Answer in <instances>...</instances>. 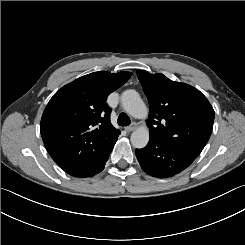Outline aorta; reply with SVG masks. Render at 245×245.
Masks as SVG:
<instances>
[{
  "instance_id": "obj_1",
  "label": "aorta",
  "mask_w": 245,
  "mask_h": 245,
  "mask_svg": "<svg viewBox=\"0 0 245 245\" xmlns=\"http://www.w3.org/2000/svg\"><path fill=\"white\" fill-rule=\"evenodd\" d=\"M121 103L128 114L134 118H146L148 110L140 95L135 90H126L121 95ZM133 147L141 149L149 142V129L147 127H139L133 131L130 137Z\"/></svg>"
}]
</instances>
